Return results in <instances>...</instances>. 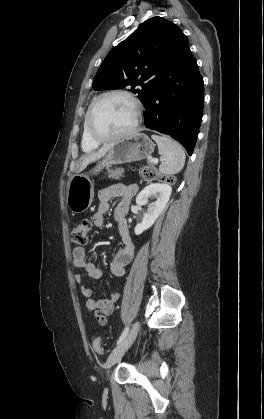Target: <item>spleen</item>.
Returning <instances> with one entry per match:
<instances>
[{"mask_svg": "<svg viewBox=\"0 0 264 419\" xmlns=\"http://www.w3.org/2000/svg\"><path fill=\"white\" fill-rule=\"evenodd\" d=\"M158 145L159 154L163 156L159 171L164 175H173L180 172L185 163V152L182 146L166 136L152 135Z\"/></svg>", "mask_w": 264, "mask_h": 419, "instance_id": "1", "label": "spleen"}]
</instances>
